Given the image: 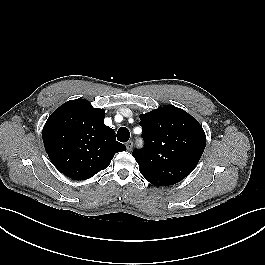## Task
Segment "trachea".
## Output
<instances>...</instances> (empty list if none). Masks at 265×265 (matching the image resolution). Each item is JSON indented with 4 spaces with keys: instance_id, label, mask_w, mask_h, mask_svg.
Returning a JSON list of instances; mask_svg holds the SVG:
<instances>
[{
    "instance_id": "trachea-1",
    "label": "trachea",
    "mask_w": 265,
    "mask_h": 265,
    "mask_svg": "<svg viewBox=\"0 0 265 265\" xmlns=\"http://www.w3.org/2000/svg\"><path fill=\"white\" fill-rule=\"evenodd\" d=\"M130 138V132L126 127H121L117 131V139L120 142H127Z\"/></svg>"
}]
</instances>
